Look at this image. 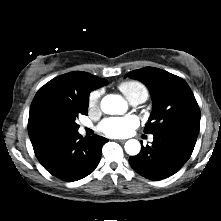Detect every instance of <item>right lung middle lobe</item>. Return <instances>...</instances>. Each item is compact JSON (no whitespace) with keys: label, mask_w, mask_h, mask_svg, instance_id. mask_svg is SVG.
Here are the masks:
<instances>
[{"label":"right lung middle lobe","mask_w":221,"mask_h":221,"mask_svg":"<svg viewBox=\"0 0 221 221\" xmlns=\"http://www.w3.org/2000/svg\"><path fill=\"white\" fill-rule=\"evenodd\" d=\"M87 108L88 106H61L53 109L51 115L64 123L71 133H76L78 132L79 125L75 120L80 114L87 115Z\"/></svg>","instance_id":"right-lung-middle-lobe-1"}]
</instances>
